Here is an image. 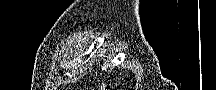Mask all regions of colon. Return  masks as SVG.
Masks as SVG:
<instances>
[{
  "label": "colon",
  "mask_w": 216,
  "mask_h": 90,
  "mask_svg": "<svg viewBox=\"0 0 216 90\" xmlns=\"http://www.w3.org/2000/svg\"><path fill=\"white\" fill-rule=\"evenodd\" d=\"M93 90H107V84L102 81Z\"/></svg>",
  "instance_id": "5ec220e1"
}]
</instances>
